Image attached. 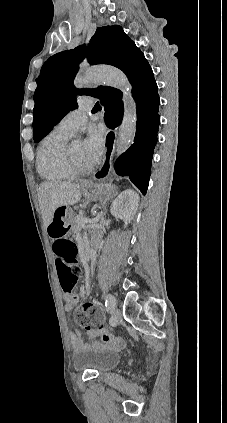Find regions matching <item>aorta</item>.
<instances>
[{"label": "aorta", "instance_id": "762f6f07", "mask_svg": "<svg viewBox=\"0 0 227 423\" xmlns=\"http://www.w3.org/2000/svg\"><path fill=\"white\" fill-rule=\"evenodd\" d=\"M104 82L107 85L118 88L125 93L124 118L119 129L118 139L115 145L117 156L125 152L133 144L136 134V107L135 101L127 95L131 88L126 75L114 67H92L82 75L76 77L74 85L82 88L86 84Z\"/></svg>", "mask_w": 227, "mask_h": 423}]
</instances>
